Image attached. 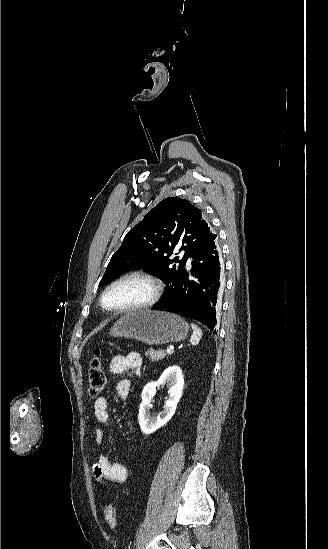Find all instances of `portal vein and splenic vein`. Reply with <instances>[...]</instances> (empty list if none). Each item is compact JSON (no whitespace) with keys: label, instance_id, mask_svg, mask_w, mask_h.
<instances>
[{"label":"portal vein and splenic vein","instance_id":"portal-vein-and-splenic-vein-1","mask_svg":"<svg viewBox=\"0 0 328 549\" xmlns=\"http://www.w3.org/2000/svg\"><path fill=\"white\" fill-rule=\"evenodd\" d=\"M166 353H171V349L167 348Z\"/></svg>","mask_w":328,"mask_h":549}]
</instances>
